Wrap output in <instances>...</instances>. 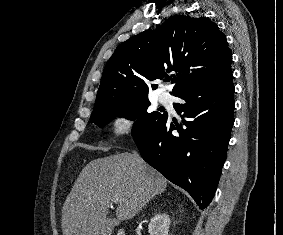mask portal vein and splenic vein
<instances>
[{
    "instance_id": "portal-vein-and-splenic-vein-1",
    "label": "portal vein and splenic vein",
    "mask_w": 283,
    "mask_h": 235,
    "mask_svg": "<svg viewBox=\"0 0 283 235\" xmlns=\"http://www.w3.org/2000/svg\"><path fill=\"white\" fill-rule=\"evenodd\" d=\"M120 201V199L118 198V197H114L113 199H112V202H114V203H118Z\"/></svg>"
}]
</instances>
